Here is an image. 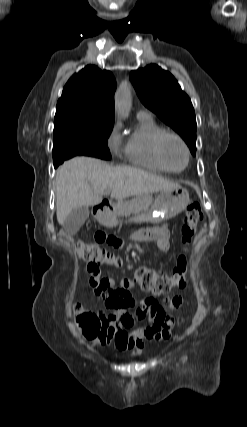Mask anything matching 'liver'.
I'll return each instance as SVG.
<instances>
[{
	"label": "liver",
	"mask_w": 247,
	"mask_h": 427,
	"mask_svg": "<svg viewBox=\"0 0 247 427\" xmlns=\"http://www.w3.org/2000/svg\"><path fill=\"white\" fill-rule=\"evenodd\" d=\"M176 186L179 185L140 168L113 167L96 158L76 157L61 165L56 174L57 220L63 225L73 209L97 205L104 194L121 199Z\"/></svg>",
	"instance_id": "6515ba94"
}]
</instances>
